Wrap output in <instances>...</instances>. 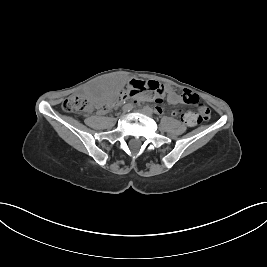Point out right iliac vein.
I'll return each instance as SVG.
<instances>
[{
	"mask_svg": "<svg viewBox=\"0 0 267 267\" xmlns=\"http://www.w3.org/2000/svg\"><path fill=\"white\" fill-rule=\"evenodd\" d=\"M125 116H126V114H125V113H122V114H121V117H125Z\"/></svg>",
	"mask_w": 267,
	"mask_h": 267,
	"instance_id": "obj_1",
	"label": "right iliac vein"
}]
</instances>
